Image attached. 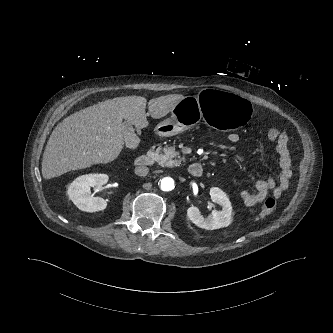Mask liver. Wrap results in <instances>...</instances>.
Instances as JSON below:
<instances>
[{"mask_svg": "<svg viewBox=\"0 0 333 333\" xmlns=\"http://www.w3.org/2000/svg\"><path fill=\"white\" fill-rule=\"evenodd\" d=\"M183 98V95L171 94L151 99L148 102L151 117L166 116ZM146 104L142 96L116 97L65 118L55 127L45 147L43 177L51 179L72 170L114 161L124 145L123 119L138 129L147 127Z\"/></svg>", "mask_w": 333, "mask_h": 333, "instance_id": "6515ba94", "label": "liver"}]
</instances>
